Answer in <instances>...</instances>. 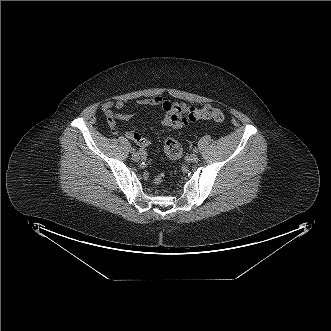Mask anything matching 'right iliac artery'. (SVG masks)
Instances as JSON below:
<instances>
[{"mask_svg": "<svg viewBox=\"0 0 331 331\" xmlns=\"http://www.w3.org/2000/svg\"><path fill=\"white\" fill-rule=\"evenodd\" d=\"M131 151H132L133 153H136V152H137V149H136V148H131Z\"/></svg>", "mask_w": 331, "mask_h": 331, "instance_id": "right-iliac-artery-1", "label": "right iliac artery"}]
</instances>
